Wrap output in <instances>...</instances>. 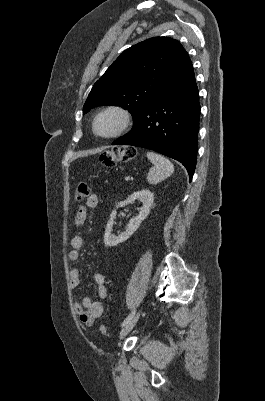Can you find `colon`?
Masks as SVG:
<instances>
[{
  "mask_svg": "<svg viewBox=\"0 0 265 401\" xmlns=\"http://www.w3.org/2000/svg\"><path fill=\"white\" fill-rule=\"evenodd\" d=\"M136 156V151L131 147H119L108 151H105L100 156V161L102 165L108 168L114 167L117 163L121 161H129ZM91 195L90 185L86 182H81L78 184L75 192L76 199L78 201L87 200ZM102 333L107 332V328L103 325L99 327Z\"/></svg>",
  "mask_w": 265,
  "mask_h": 401,
  "instance_id": "1",
  "label": "colon"
}]
</instances>
